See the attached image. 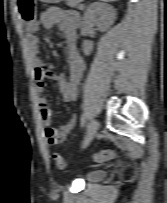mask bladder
I'll list each match as a JSON object with an SVG mask.
<instances>
[{
  "instance_id": "1",
  "label": "bladder",
  "mask_w": 167,
  "mask_h": 203,
  "mask_svg": "<svg viewBox=\"0 0 167 203\" xmlns=\"http://www.w3.org/2000/svg\"><path fill=\"white\" fill-rule=\"evenodd\" d=\"M107 173L105 170L92 169L89 170L83 177L86 182H98L106 178Z\"/></svg>"
}]
</instances>
